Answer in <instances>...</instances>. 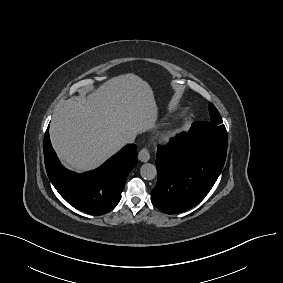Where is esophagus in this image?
I'll return each mask as SVG.
<instances>
[{
    "label": "esophagus",
    "mask_w": 283,
    "mask_h": 283,
    "mask_svg": "<svg viewBox=\"0 0 283 283\" xmlns=\"http://www.w3.org/2000/svg\"><path fill=\"white\" fill-rule=\"evenodd\" d=\"M138 159L141 162H148L150 160V152L147 148H143L140 150L138 154Z\"/></svg>",
    "instance_id": "1"
}]
</instances>
